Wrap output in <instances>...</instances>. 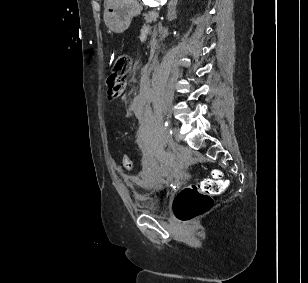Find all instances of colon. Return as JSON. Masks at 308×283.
<instances>
[{
    "label": "colon",
    "instance_id": "colon-1",
    "mask_svg": "<svg viewBox=\"0 0 308 283\" xmlns=\"http://www.w3.org/2000/svg\"><path fill=\"white\" fill-rule=\"evenodd\" d=\"M111 66V74L107 82L112 86H122L131 69L130 56L126 53L113 55ZM122 164L126 169L132 168V161L128 155L122 156ZM227 186L228 183L222 173L214 170L211 178L189 185L177 194L173 203L175 216L182 222H189L206 213L213 206V197L222 194Z\"/></svg>",
    "mask_w": 308,
    "mask_h": 283
}]
</instances>
